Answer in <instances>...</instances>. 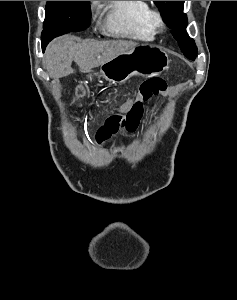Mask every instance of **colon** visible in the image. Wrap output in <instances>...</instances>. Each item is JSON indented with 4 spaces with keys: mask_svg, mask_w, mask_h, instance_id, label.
<instances>
[{
    "mask_svg": "<svg viewBox=\"0 0 237 300\" xmlns=\"http://www.w3.org/2000/svg\"><path fill=\"white\" fill-rule=\"evenodd\" d=\"M166 91L167 83L163 78L154 77L142 82L137 94L138 99L132 103L125 115L116 114L105 120L104 124L97 132V142L99 144H104L121 130L134 132L137 129L143 115L142 102L161 95ZM84 94L85 91L83 87L78 86L75 91L77 101L80 100Z\"/></svg>",
    "mask_w": 237,
    "mask_h": 300,
    "instance_id": "5ec220e1",
    "label": "colon"
}]
</instances>
